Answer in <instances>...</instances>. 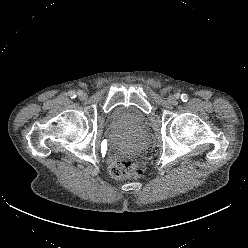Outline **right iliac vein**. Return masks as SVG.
Returning <instances> with one entry per match:
<instances>
[{"instance_id":"63e3f726","label":"right iliac vein","mask_w":248,"mask_h":248,"mask_svg":"<svg viewBox=\"0 0 248 248\" xmlns=\"http://www.w3.org/2000/svg\"><path fill=\"white\" fill-rule=\"evenodd\" d=\"M78 95L81 99H85L86 98V93L82 92V91H79L78 92Z\"/></svg>"}]
</instances>
